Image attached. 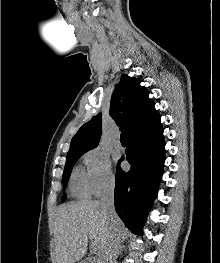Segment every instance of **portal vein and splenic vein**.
<instances>
[{
    "label": "portal vein and splenic vein",
    "mask_w": 220,
    "mask_h": 263,
    "mask_svg": "<svg viewBox=\"0 0 220 263\" xmlns=\"http://www.w3.org/2000/svg\"><path fill=\"white\" fill-rule=\"evenodd\" d=\"M90 240H92V238H90ZM93 241V240H92ZM98 249H97V247H96V244H95V242H93V251L94 252H98L97 251Z\"/></svg>",
    "instance_id": "obj_1"
}]
</instances>
